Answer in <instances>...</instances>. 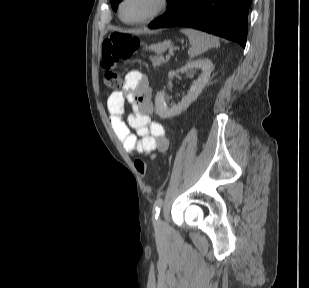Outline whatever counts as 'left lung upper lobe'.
Listing matches in <instances>:
<instances>
[{
    "instance_id": "1",
    "label": "left lung upper lobe",
    "mask_w": 309,
    "mask_h": 288,
    "mask_svg": "<svg viewBox=\"0 0 309 288\" xmlns=\"http://www.w3.org/2000/svg\"><path fill=\"white\" fill-rule=\"evenodd\" d=\"M167 1H168V7H170L176 0H167ZM119 2H121V0H111L113 10L116 11Z\"/></svg>"
}]
</instances>
